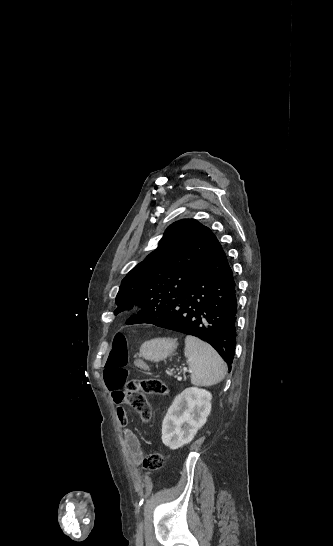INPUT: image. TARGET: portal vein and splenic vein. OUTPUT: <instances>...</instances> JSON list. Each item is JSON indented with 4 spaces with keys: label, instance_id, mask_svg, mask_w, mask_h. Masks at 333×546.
Wrapping results in <instances>:
<instances>
[{
    "label": "portal vein and splenic vein",
    "instance_id": "1",
    "mask_svg": "<svg viewBox=\"0 0 333 546\" xmlns=\"http://www.w3.org/2000/svg\"><path fill=\"white\" fill-rule=\"evenodd\" d=\"M186 370H187V368H184V371H186Z\"/></svg>",
    "mask_w": 333,
    "mask_h": 546
}]
</instances>
